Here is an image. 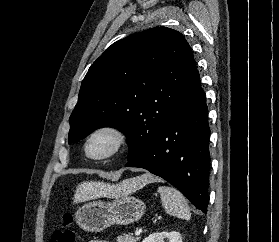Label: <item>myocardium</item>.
<instances>
[{
  "label": "myocardium",
  "mask_w": 279,
  "mask_h": 242,
  "mask_svg": "<svg viewBox=\"0 0 279 242\" xmlns=\"http://www.w3.org/2000/svg\"><path fill=\"white\" fill-rule=\"evenodd\" d=\"M102 134H107L112 137L113 144L108 152L100 156H93L90 153V144L92 140ZM128 137L126 132L114 124H102L94 128L87 136L85 141V154L94 161H104L118 155L126 146Z\"/></svg>",
  "instance_id": "1"
}]
</instances>
